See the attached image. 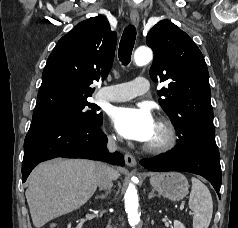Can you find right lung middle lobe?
<instances>
[{
  "label": "right lung middle lobe",
  "mask_w": 238,
  "mask_h": 228,
  "mask_svg": "<svg viewBox=\"0 0 238 228\" xmlns=\"http://www.w3.org/2000/svg\"><path fill=\"white\" fill-rule=\"evenodd\" d=\"M87 106L92 109L87 110ZM99 109L98 106L84 101L64 107L46 115L33 116L32 120H68L93 125L102 121V113L97 112Z\"/></svg>",
  "instance_id": "obj_1"
}]
</instances>
